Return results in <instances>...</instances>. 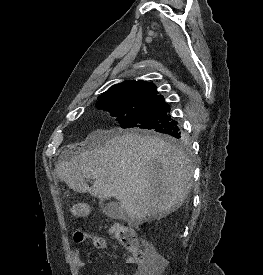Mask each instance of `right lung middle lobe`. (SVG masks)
<instances>
[{
  "instance_id": "dd1d6c3e",
  "label": "right lung middle lobe",
  "mask_w": 263,
  "mask_h": 275,
  "mask_svg": "<svg viewBox=\"0 0 263 275\" xmlns=\"http://www.w3.org/2000/svg\"><path fill=\"white\" fill-rule=\"evenodd\" d=\"M97 107L110 112L111 116L117 117L116 120L124 129H144L160 133L159 130L177 123L168 114L170 107L163 97L142 98L132 97L122 92L109 93L98 98ZM164 135L166 141L180 147L184 146L180 138Z\"/></svg>"
}]
</instances>
